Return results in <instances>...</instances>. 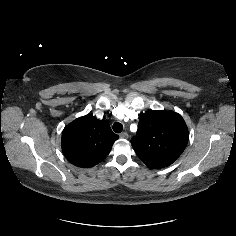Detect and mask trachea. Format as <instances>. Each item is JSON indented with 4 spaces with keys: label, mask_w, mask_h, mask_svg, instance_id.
Returning <instances> with one entry per match:
<instances>
[{
    "label": "trachea",
    "mask_w": 236,
    "mask_h": 236,
    "mask_svg": "<svg viewBox=\"0 0 236 236\" xmlns=\"http://www.w3.org/2000/svg\"><path fill=\"white\" fill-rule=\"evenodd\" d=\"M113 130H114L115 133H121L122 130H123V125L119 122H115L113 124Z\"/></svg>",
    "instance_id": "3493384b"
}]
</instances>
